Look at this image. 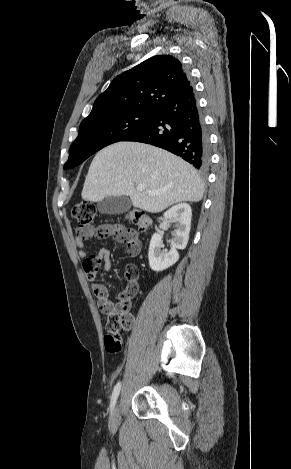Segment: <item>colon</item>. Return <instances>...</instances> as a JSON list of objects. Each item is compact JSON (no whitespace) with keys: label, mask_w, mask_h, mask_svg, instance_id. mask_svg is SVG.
<instances>
[{"label":"colon","mask_w":291,"mask_h":469,"mask_svg":"<svg viewBox=\"0 0 291 469\" xmlns=\"http://www.w3.org/2000/svg\"><path fill=\"white\" fill-rule=\"evenodd\" d=\"M96 214V207L90 201H80L72 209V215L78 223V229L81 234L105 238L108 230L104 226L94 228L92 226ZM127 220L145 230L150 225V218L146 213L139 209H132L126 214ZM87 268L92 271L98 270L99 263L88 261ZM138 268L135 265H128L125 269L127 280L126 290L118 297L114 307L106 312V331L104 337L105 350L112 354H117L122 350V338L120 330H129L134 324V317L131 314L132 299L137 292Z\"/></svg>","instance_id":"obj_1"}]
</instances>
